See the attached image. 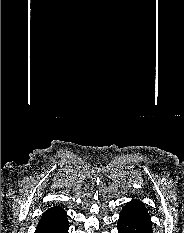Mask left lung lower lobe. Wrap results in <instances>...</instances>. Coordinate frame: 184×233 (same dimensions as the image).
Returning a JSON list of instances; mask_svg holds the SVG:
<instances>
[{
  "mask_svg": "<svg viewBox=\"0 0 184 233\" xmlns=\"http://www.w3.org/2000/svg\"><path fill=\"white\" fill-rule=\"evenodd\" d=\"M118 233H153L150 215L144 203L132 200L120 213Z\"/></svg>",
  "mask_w": 184,
  "mask_h": 233,
  "instance_id": "obj_1",
  "label": "left lung lower lobe"
}]
</instances>
